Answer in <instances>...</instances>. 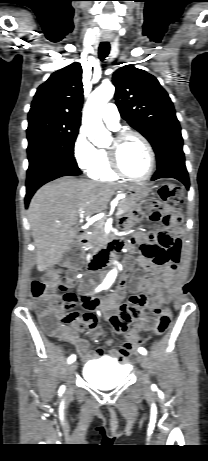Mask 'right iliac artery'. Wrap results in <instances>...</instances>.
Wrapping results in <instances>:
<instances>
[{"label": "right iliac artery", "mask_w": 208, "mask_h": 461, "mask_svg": "<svg viewBox=\"0 0 208 461\" xmlns=\"http://www.w3.org/2000/svg\"><path fill=\"white\" fill-rule=\"evenodd\" d=\"M102 289H103V288L100 286V287L96 288V292H98V291H100V290H102ZM75 360H76V356L73 354V355H71V356L68 358V363H72V362H74ZM63 388H64V386H61V387H60V390H62Z\"/></svg>", "instance_id": "right-iliac-artery-1"}]
</instances>
